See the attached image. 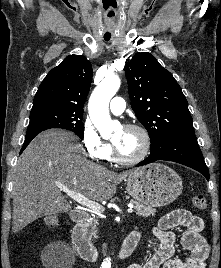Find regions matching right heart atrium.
I'll return each instance as SVG.
<instances>
[{
  "mask_svg": "<svg viewBox=\"0 0 221 268\" xmlns=\"http://www.w3.org/2000/svg\"><path fill=\"white\" fill-rule=\"evenodd\" d=\"M82 143L87 155L95 161H106L112 154L111 145L101 138L89 119L83 122Z\"/></svg>",
  "mask_w": 221,
  "mask_h": 268,
  "instance_id": "1",
  "label": "right heart atrium"
}]
</instances>
